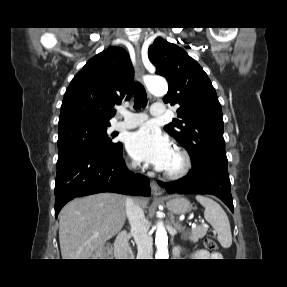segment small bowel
Wrapping results in <instances>:
<instances>
[{"instance_id":"small-bowel-1","label":"small bowel","mask_w":287,"mask_h":287,"mask_svg":"<svg viewBox=\"0 0 287 287\" xmlns=\"http://www.w3.org/2000/svg\"><path fill=\"white\" fill-rule=\"evenodd\" d=\"M184 250L181 248L176 249L175 255L179 256L180 254H183ZM210 253L206 250H197L193 254H191L192 257L196 259H208L210 257Z\"/></svg>"}]
</instances>
